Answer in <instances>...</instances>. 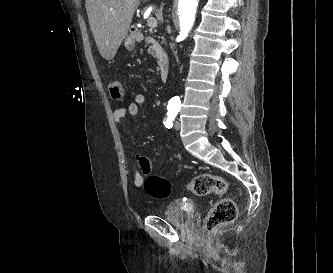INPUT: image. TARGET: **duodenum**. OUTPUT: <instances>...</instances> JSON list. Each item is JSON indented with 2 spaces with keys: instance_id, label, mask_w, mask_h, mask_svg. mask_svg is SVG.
Here are the masks:
<instances>
[{
  "instance_id": "obj_1",
  "label": "duodenum",
  "mask_w": 333,
  "mask_h": 273,
  "mask_svg": "<svg viewBox=\"0 0 333 273\" xmlns=\"http://www.w3.org/2000/svg\"><path fill=\"white\" fill-rule=\"evenodd\" d=\"M131 31L137 41L145 39L141 29L138 28L137 26H132ZM158 65H159L160 78L162 81H165L168 77L170 69V59L166 53L161 52L158 54Z\"/></svg>"
}]
</instances>
